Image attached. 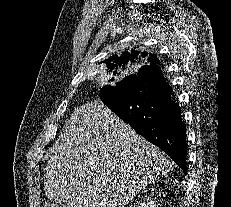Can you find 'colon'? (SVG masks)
Here are the masks:
<instances>
[{"label": "colon", "instance_id": "5ec220e1", "mask_svg": "<svg viewBox=\"0 0 231 207\" xmlns=\"http://www.w3.org/2000/svg\"><path fill=\"white\" fill-rule=\"evenodd\" d=\"M46 207H57L56 205H47Z\"/></svg>", "mask_w": 231, "mask_h": 207}]
</instances>
